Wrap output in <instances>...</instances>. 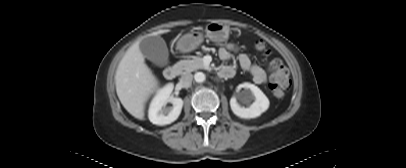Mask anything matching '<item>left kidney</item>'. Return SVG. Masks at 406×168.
<instances>
[{
    "label": "left kidney",
    "instance_id": "obj_1",
    "mask_svg": "<svg viewBox=\"0 0 406 168\" xmlns=\"http://www.w3.org/2000/svg\"><path fill=\"white\" fill-rule=\"evenodd\" d=\"M241 88H244V91L240 94L242 100H244L245 103H250L251 101H253V103L247 108L241 107L236 97L233 96L230 100V107L236 116L243 119L256 118L269 108L270 103L268 98L257 86L245 82L237 87V92H239Z\"/></svg>",
    "mask_w": 406,
    "mask_h": 168
}]
</instances>
